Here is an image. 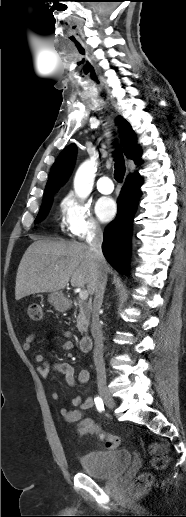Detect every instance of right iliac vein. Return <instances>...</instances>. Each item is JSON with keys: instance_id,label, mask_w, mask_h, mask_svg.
I'll list each match as a JSON object with an SVG mask.
<instances>
[{"instance_id": "right-iliac-vein-1", "label": "right iliac vein", "mask_w": 186, "mask_h": 517, "mask_svg": "<svg viewBox=\"0 0 186 517\" xmlns=\"http://www.w3.org/2000/svg\"><path fill=\"white\" fill-rule=\"evenodd\" d=\"M99 394L105 403V405L112 409L115 407V401L112 395L110 394L109 390L104 385H99Z\"/></svg>"}]
</instances>
